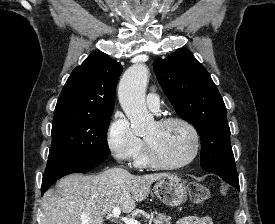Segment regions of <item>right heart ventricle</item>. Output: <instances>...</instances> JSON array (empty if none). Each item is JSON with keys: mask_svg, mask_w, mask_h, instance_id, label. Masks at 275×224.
Here are the masks:
<instances>
[{"mask_svg": "<svg viewBox=\"0 0 275 224\" xmlns=\"http://www.w3.org/2000/svg\"><path fill=\"white\" fill-rule=\"evenodd\" d=\"M135 163H136V165L141 166V167H148L149 166V164L146 160L144 152L139 153V155L135 159Z\"/></svg>", "mask_w": 275, "mask_h": 224, "instance_id": "e07e8e85", "label": "right heart ventricle"}]
</instances>
